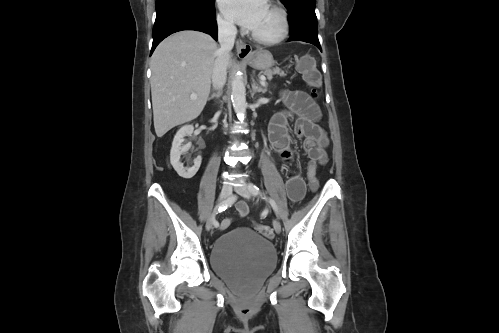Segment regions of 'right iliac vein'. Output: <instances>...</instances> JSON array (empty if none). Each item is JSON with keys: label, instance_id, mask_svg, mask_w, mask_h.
<instances>
[{"label": "right iliac vein", "instance_id": "1", "mask_svg": "<svg viewBox=\"0 0 499 333\" xmlns=\"http://www.w3.org/2000/svg\"><path fill=\"white\" fill-rule=\"evenodd\" d=\"M231 194H232V186L230 184H228V183H225L222 186V189H221V192H220V195H219V202L224 201ZM214 217H215V213H213L211 215V217L207 220V222H206V230L207 231H210L213 228Z\"/></svg>", "mask_w": 499, "mask_h": 333}]
</instances>
